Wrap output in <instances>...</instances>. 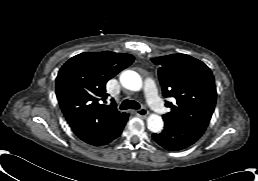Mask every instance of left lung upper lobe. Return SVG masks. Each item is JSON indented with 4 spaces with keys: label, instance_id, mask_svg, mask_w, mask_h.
<instances>
[{
    "label": "left lung upper lobe",
    "instance_id": "obj_1",
    "mask_svg": "<svg viewBox=\"0 0 258 181\" xmlns=\"http://www.w3.org/2000/svg\"><path fill=\"white\" fill-rule=\"evenodd\" d=\"M160 65L158 75L171 111L164 121L186 124L205 131L216 104V87L211 70L201 61L185 54H172L152 59Z\"/></svg>",
    "mask_w": 258,
    "mask_h": 181
}]
</instances>
